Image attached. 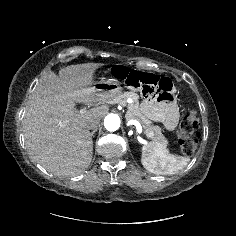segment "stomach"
Segmentation results:
<instances>
[{"label":"stomach","mask_w":236,"mask_h":236,"mask_svg":"<svg viewBox=\"0 0 236 236\" xmlns=\"http://www.w3.org/2000/svg\"><path fill=\"white\" fill-rule=\"evenodd\" d=\"M93 88L101 94L106 100L115 98L121 94L123 88L120 86V83L116 80H106L95 83Z\"/></svg>","instance_id":"stomach-1"}]
</instances>
